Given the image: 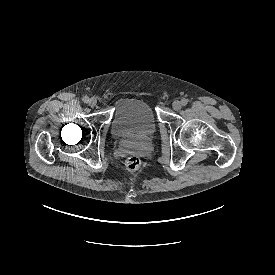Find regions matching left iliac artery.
<instances>
[{"instance_id": "left-iliac-artery-1", "label": "left iliac artery", "mask_w": 275, "mask_h": 275, "mask_svg": "<svg viewBox=\"0 0 275 275\" xmlns=\"http://www.w3.org/2000/svg\"><path fill=\"white\" fill-rule=\"evenodd\" d=\"M182 105L186 106L188 104V100L186 98H183L181 100Z\"/></svg>"}]
</instances>
